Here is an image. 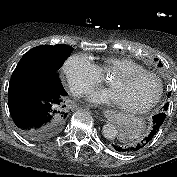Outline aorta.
<instances>
[{"label": "aorta", "instance_id": "762f6f07", "mask_svg": "<svg viewBox=\"0 0 177 177\" xmlns=\"http://www.w3.org/2000/svg\"><path fill=\"white\" fill-rule=\"evenodd\" d=\"M102 134L105 138L113 140L118 134L117 127L111 123L105 124L102 128Z\"/></svg>", "mask_w": 177, "mask_h": 177}]
</instances>
